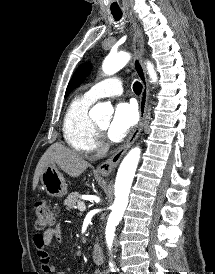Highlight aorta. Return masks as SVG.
I'll return each instance as SVG.
<instances>
[{"label": "aorta", "mask_w": 215, "mask_h": 274, "mask_svg": "<svg viewBox=\"0 0 215 274\" xmlns=\"http://www.w3.org/2000/svg\"><path fill=\"white\" fill-rule=\"evenodd\" d=\"M130 60V54L127 52H119L109 54L103 61L102 69L106 75H112L122 69ZM147 69L152 82H156L157 75L153 65L147 62ZM113 113V107L108 103H97L91 110L90 116L94 119L104 117L110 119ZM141 150L135 147L129 151L120 164L115 181V201L112 206V212L108 218L106 239L108 246L111 248L114 241V228L123 217L124 211L128 205V197L132 185L135 171L140 159ZM113 269L114 264L109 263Z\"/></svg>", "instance_id": "obj_1"}]
</instances>
